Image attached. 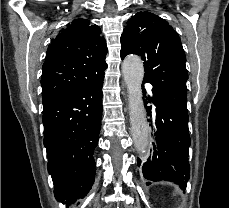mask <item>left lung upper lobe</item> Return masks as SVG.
Returning <instances> with one entry per match:
<instances>
[{
	"mask_svg": "<svg viewBox=\"0 0 229 208\" xmlns=\"http://www.w3.org/2000/svg\"><path fill=\"white\" fill-rule=\"evenodd\" d=\"M128 54L144 60V82L187 111L186 56L178 33L167 21L147 11L132 16L121 36V58Z\"/></svg>",
	"mask_w": 229,
	"mask_h": 208,
	"instance_id": "obj_1",
	"label": "left lung upper lobe"
}]
</instances>
